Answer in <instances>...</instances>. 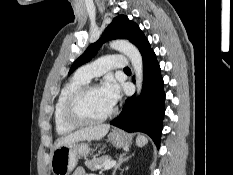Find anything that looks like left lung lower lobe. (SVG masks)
<instances>
[{
  "mask_svg": "<svg viewBox=\"0 0 233 175\" xmlns=\"http://www.w3.org/2000/svg\"><path fill=\"white\" fill-rule=\"evenodd\" d=\"M141 55L142 92L138 98L135 96L127 98L122 112L110 124L127 132L146 133L159 148L165 114L164 82L156 54L150 44L141 51Z\"/></svg>",
  "mask_w": 233,
  "mask_h": 175,
  "instance_id": "0a47b994",
  "label": "left lung lower lobe"
}]
</instances>
